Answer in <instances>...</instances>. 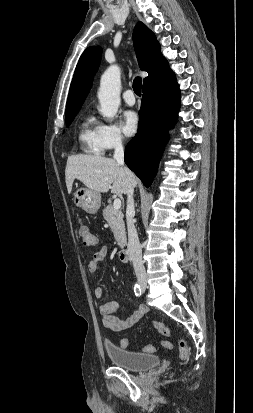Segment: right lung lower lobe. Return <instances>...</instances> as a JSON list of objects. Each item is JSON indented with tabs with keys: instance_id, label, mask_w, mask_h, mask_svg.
I'll return each mask as SVG.
<instances>
[{
	"instance_id": "obj_1",
	"label": "right lung lower lobe",
	"mask_w": 253,
	"mask_h": 413,
	"mask_svg": "<svg viewBox=\"0 0 253 413\" xmlns=\"http://www.w3.org/2000/svg\"><path fill=\"white\" fill-rule=\"evenodd\" d=\"M180 107V90L172 71L143 87L138 132L125 148L127 166L148 187L153 181Z\"/></svg>"
}]
</instances>
